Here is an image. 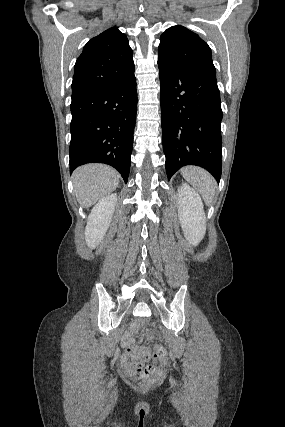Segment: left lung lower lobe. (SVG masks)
Listing matches in <instances>:
<instances>
[{"instance_id":"1","label":"left lung lower lobe","mask_w":285,"mask_h":427,"mask_svg":"<svg viewBox=\"0 0 285 427\" xmlns=\"http://www.w3.org/2000/svg\"><path fill=\"white\" fill-rule=\"evenodd\" d=\"M161 82L162 143L170 179L186 165L221 178L222 110L216 76L158 59Z\"/></svg>"}]
</instances>
